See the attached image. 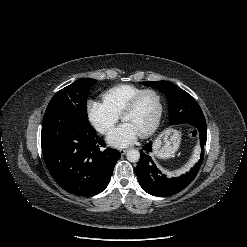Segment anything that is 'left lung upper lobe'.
<instances>
[{
  "label": "left lung upper lobe",
  "instance_id": "5c2ea615",
  "mask_svg": "<svg viewBox=\"0 0 247 247\" xmlns=\"http://www.w3.org/2000/svg\"><path fill=\"white\" fill-rule=\"evenodd\" d=\"M143 85L164 92L169 102L170 123L186 124L190 128L206 123L197 101L186 91L168 81L141 82Z\"/></svg>",
  "mask_w": 247,
  "mask_h": 247
}]
</instances>
